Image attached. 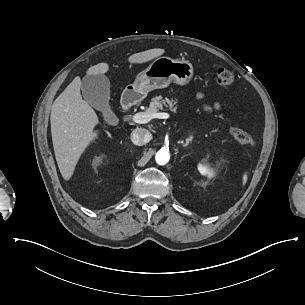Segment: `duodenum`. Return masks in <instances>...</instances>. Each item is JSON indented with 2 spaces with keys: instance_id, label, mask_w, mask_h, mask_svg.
I'll return each instance as SVG.
<instances>
[{
  "instance_id": "1",
  "label": "duodenum",
  "mask_w": 305,
  "mask_h": 305,
  "mask_svg": "<svg viewBox=\"0 0 305 305\" xmlns=\"http://www.w3.org/2000/svg\"><path fill=\"white\" fill-rule=\"evenodd\" d=\"M139 99V95L136 92L126 93L122 97V108L125 113H128L131 106Z\"/></svg>"
}]
</instances>
